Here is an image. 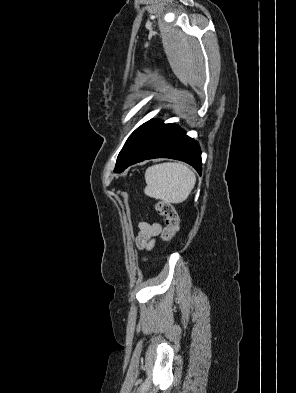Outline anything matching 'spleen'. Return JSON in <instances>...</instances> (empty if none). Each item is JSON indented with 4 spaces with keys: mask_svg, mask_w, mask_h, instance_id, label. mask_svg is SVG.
<instances>
[{
    "mask_svg": "<svg viewBox=\"0 0 296 393\" xmlns=\"http://www.w3.org/2000/svg\"><path fill=\"white\" fill-rule=\"evenodd\" d=\"M145 181L144 193L147 196L178 204L187 199L195 186L196 177L187 165L167 162L149 167Z\"/></svg>",
    "mask_w": 296,
    "mask_h": 393,
    "instance_id": "3e777b00",
    "label": "spleen"
}]
</instances>
